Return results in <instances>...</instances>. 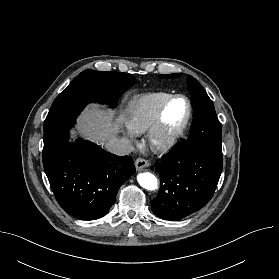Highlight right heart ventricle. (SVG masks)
<instances>
[{"instance_id":"obj_1","label":"right heart ventricle","mask_w":279,"mask_h":279,"mask_svg":"<svg viewBox=\"0 0 279 279\" xmlns=\"http://www.w3.org/2000/svg\"><path fill=\"white\" fill-rule=\"evenodd\" d=\"M171 95L154 92L135 97L129 106L128 128L135 134L147 132L154 124L160 107Z\"/></svg>"}]
</instances>
